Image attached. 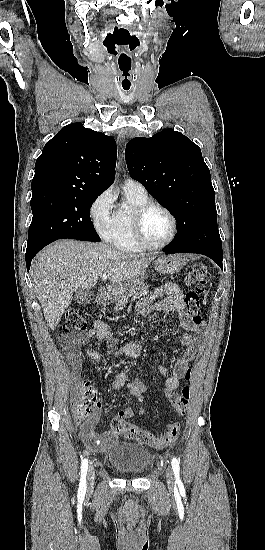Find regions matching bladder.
I'll return each mask as SVG.
<instances>
[{"instance_id":"bladder-1","label":"bladder","mask_w":265,"mask_h":550,"mask_svg":"<svg viewBox=\"0 0 265 550\" xmlns=\"http://www.w3.org/2000/svg\"><path fill=\"white\" fill-rule=\"evenodd\" d=\"M109 464L122 474L141 476L153 462V452L143 445L113 442L106 450Z\"/></svg>"}]
</instances>
